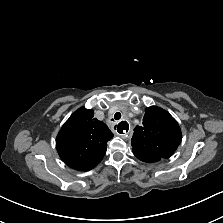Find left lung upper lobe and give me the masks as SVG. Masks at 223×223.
I'll list each match as a JSON object with an SVG mask.
<instances>
[{
	"label": "left lung upper lobe",
	"instance_id": "left-lung-upper-lobe-1",
	"mask_svg": "<svg viewBox=\"0 0 223 223\" xmlns=\"http://www.w3.org/2000/svg\"><path fill=\"white\" fill-rule=\"evenodd\" d=\"M182 139L177 121L166 110L157 106L147 107L143 125L134 128L133 152L157 158H169Z\"/></svg>",
	"mask_w": 223,
	"mask_h": 223
}]
</instances>
